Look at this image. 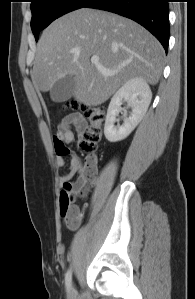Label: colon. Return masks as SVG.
I'll return each mask as SVG.
<instances>
[{
    "label": "colon",
    "mask_w": 195,
    "mask_h": 299,
    "mask_svg": "<svg viewBox=\"0 0 195 299\" xmlns=\"http://www.w3.org/2000/svg\"><path fill=\"white\" fill-rule=\"evenodd\" d=\"M71 107L82 110L89 120V126L79 141V146L83 151L92 153L101 140V129L106 116V108L103 105L86 106L78 103H73ZM93 161V156L87 157L82 166V174L79 180L68 183L69 191L62 192L60 200L63 217L70 216L74 218L78 215L79 207L76 199L83 194L85 187L94 180Z\"/></svg>",
    "instance_id": "obj_1"
}]
</instances>
